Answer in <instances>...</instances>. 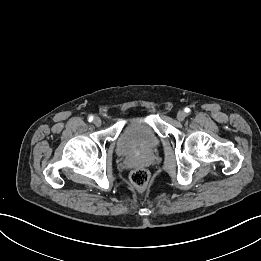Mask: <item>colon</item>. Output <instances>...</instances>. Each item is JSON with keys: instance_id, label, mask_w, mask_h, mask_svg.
I'll return each mask as SVG.
<instances>
[{"instance_id": "obj_1", "label": "colon", "mask_w": 261, "mask_h": 261, "mask_svg": "<svg viewBox=\"0 0 261 261\" xmlns=\"http://www.w3.org/2000/svg\"><path fill=\"white\" fill-rule=\"evenodd\" d=\"M130 178L137 189H144L149 181V173L143 168H138L132 171Z\"/></svg>"}]
</instances>
